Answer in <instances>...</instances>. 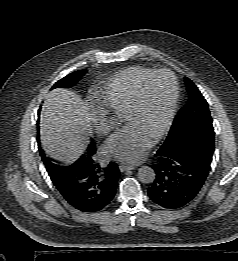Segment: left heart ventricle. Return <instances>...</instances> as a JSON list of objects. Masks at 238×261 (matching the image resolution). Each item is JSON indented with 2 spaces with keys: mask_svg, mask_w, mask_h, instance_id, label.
Wrapping results in <instances>:
<instances>
[{
  "mask_svg": "<svg viewBox=\"0 0 238 261\" xmlns=\"http://www.w3.org/2000/svg\"><path fill=\"white\" fill-rule=\"evenodd\" d=\"M172 92L173 84L169 75H158L151 79L145 88L140 109L125 117L127 125H135L154 136L168 114Z\"/></svg>",
  "mask_w": 238,
  "mask_h": 261,
  "instance_id": "obj_1",
  "label": "left heart ventricle"
}]
</instances>
